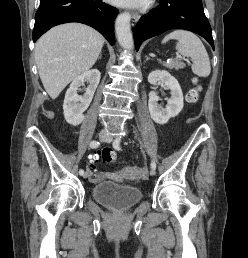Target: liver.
<instances>
[{"label":"liver","mask_w":248,"mask_h":258,"mask_svg":"<svg viewBox=\"0 0 248 258\" xmlns=\"http://www.w3.org/2000/svg\"><path fill=\"white\" fill-rule=\"evenodd\" d=\"M104 41L98 31L80 23L58 25L40 37L35 45V61L52 99L95 64Z\"/></svg>","instance_id":"liver-1"}]
</instances>
